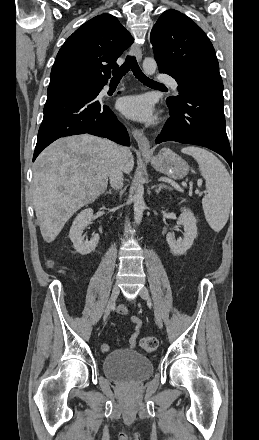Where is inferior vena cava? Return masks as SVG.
Instances as JSON below:
<instances>
[{"instance_id": "inferior-vena-cava-1", "label": "inferior vena cava", "mask_w": 259, "mask_h": 440, "mask_svg": "<svg viewBox=\"0 0 259 440\" xmlns=\"http://www.w3.org/2000/svg\"><path fill=\"white\" fill-rule=\"evenodd\" d=\"M124 151V147H116V157L109 172L110 184L112 188L116 190L123 187V165L121 157Z\"/></svg>"}]
</instances>
